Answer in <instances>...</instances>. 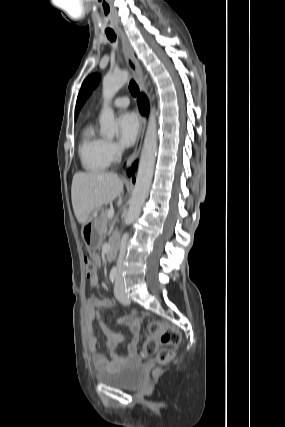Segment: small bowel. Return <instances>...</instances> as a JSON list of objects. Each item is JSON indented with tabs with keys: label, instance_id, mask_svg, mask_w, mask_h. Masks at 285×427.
Returning <instances> with one entry per match:
<instances>
[{
	"label": "small bowel",
	"instance_id": "small-bowel-1",
	"mask_svg": "<svg viewBox=\"0 0 285 427\" xmlns=\"http://www.w3.org/2000/svg\"><path fill=\"white\" fill-rule=\"evenodd\" d=\"M91 259L97 264L101 262L98 254L92 253ZM90 287L94 288L98 285L96 277L89 280ZM116 303L112 300H101L91 298L87 302L85 309V334L86 343L91 352V359L94 367L98 371H106L113 368L121 367L138 360V340L140 326L136 318L125 316L119 318L117 322L124 325L132 335V341L127 345L125 353L118 350V346L124 341V336L120 333L112 331L101 319L99 310L101 308L115 307ZM98 321L104 333V345L107 349L110 358L107 359L98 350V340L94 330V324Z\"/></svg>",
	"mask_w": 285,
	"mask_h": 427
}]
</instances>
